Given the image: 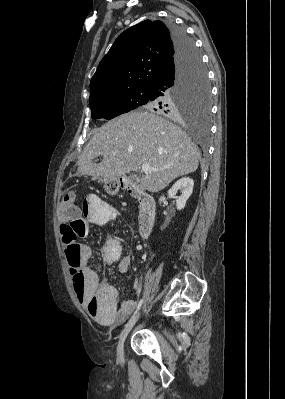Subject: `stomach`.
<instances>
[{"mask_svg": "<svg viewBox=\"0 0 285 399\" xmlns=\"http://www.w3.org/2000/svg\"><path fill=\"white\" fill-rule=\"evenodd\" d=\"M103 182L105 191L111 195L116 194L121 186V182L119 179H109Z\"/></svg>", "mask_w": 285, "mask_h": 399, "instance_id": "0dacf381", "label": "stomach"}]
</instances>
